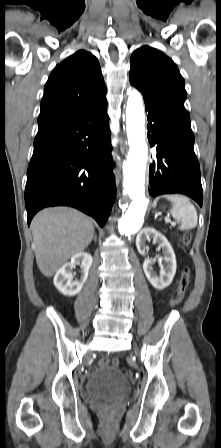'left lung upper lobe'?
Segmentation results:
<instances>
[{
  "label": "left lung upper lobe",
  "mask_w": 221,
  "mask_h": 448,
  "mask_svg": "<svg viewBox=\"0 0 221 448\" xmlns=\"http://www.w3.org/2000/svg\"><path fill=\"white\" fill-rule=\"evenodd\" d=\"M129 77L142 93L147 108L191 130L190 116L184 108L187 95L184 79L169 57L155 48L142 46L131 56Z\"/></svg>",
  "instance_id": "obj_1"
}]
</instances>
